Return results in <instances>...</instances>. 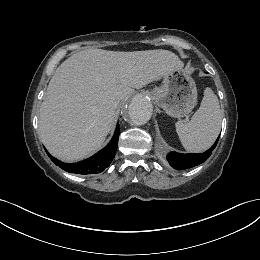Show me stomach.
Masks as SVG:
<instances>
[{"mask_svg": "<svg viewBox=\"0 0 260 260\" xmlns=\"http://www.w3.org/2000/svg\"><path fill=\"white\" fill-rule=\"evenodd\" d=\"M154 101L172 117L188 115L197 103V88L194 80L180 70L163 76L162 85L152 90Z\"/></svg>", "mask_w": 260, "mask_h": 260, "instance_id": "1", "label": "stomach"}]
</instances>
